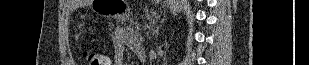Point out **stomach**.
<instances>
[{
	"instance_id": "stomach-1",
	"label": "stomach",
	"mask_w": 309,
	"mask_h": 65,
	"mask_svg": "<svg viewBox=\"0 0 309 65\" xmlns=\"http://www.w3.org/2000/svg\"><path fill=\"white\" fill-rule=\"evenodd\" d=\"M93 8L106 18L120 20L128 11L126 0H96Z\"/></svg>"
}]
</instances>
